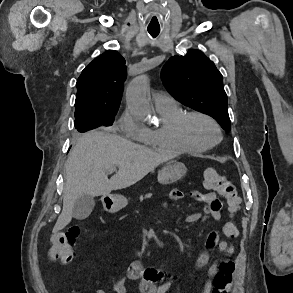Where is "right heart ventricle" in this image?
Segmentation results:
<instances>
[{
    "instance_id": "1",
    "label": "right heart ventricle",
    "mask_w": 293,
    "mask_h": 293,
    "mask_svg": "<svg viewBox=\"0 0 293 293\" xmlns=\"http://www.w3.org/2000/svg\"><path fill=\"white\" fill-rule=\"evenodd\" d=\"M160 125L154 129L146 128L141 140L145 145L170 153L198 152L182 141L178 134V122L185 111L177 104L156 108Z\"/></svg>"
}]
</instances>
